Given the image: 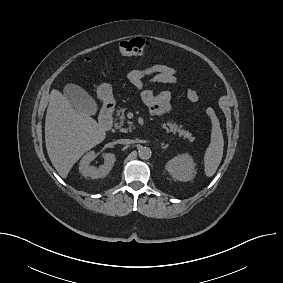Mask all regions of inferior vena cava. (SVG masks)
Masks as SVG:
<instances>
[{"label":"inferior vena cava","mask_w":283,"mask_h":283,"mask_svg":"<svg viewBox=\"0 0 283 283\" xmlns=\"http://www.w3.org/2000/svg\"><path fill=\"white\" fill-rule=\"evenodd\" d=\"M132 141L131 140H129V139H120L119 140V143L120 144H130Z\"/></svg>","instance_id":"obj_1"}]
</instances>
